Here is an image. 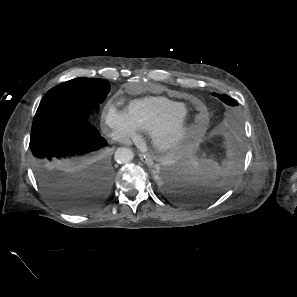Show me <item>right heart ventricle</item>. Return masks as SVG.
I'll list each match as a JSON object with an SVG mask.
<instances>
[{"mask_svg":"<svg viewBox=\"0 0 297 297\" xmlns=\"http://www.w3.org/2000/svg\"><path fill=\"white\" fill-rule=\"evenodd\" d=\"M187 111L183 102L163 96H148L132 101L126 113L140 131H149L162 120L179 116Z\"/></svg>","mask_w":297,"mask_h":297,"instance_id":"obj_1","label":"right heart ventricle"}]
</instances>
